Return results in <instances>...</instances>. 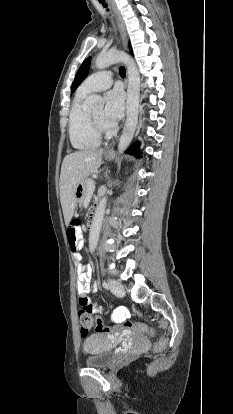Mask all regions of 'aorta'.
<instances>
[{"label":"aorta","mask_w":233,"mask_h":414,"mask_svg":"<svg viewBox=\"0 0 233 414\" xmlns=\"http://www.w3.org/2000/svg\"><path fill=\"white\" fill-rule=\"evenodd\" d=\"M119 62L124 63L128 69V87L126 101L127 119L118 144L119 153H123L131 143L137 126L140 96V75L134 60L128 54L122 51L110 50L106 53L99 54L95 60V66L97 69H104L112 64ZM86 103L91 107L103 106L104 100L100 95L93 94L86 99ZM106 203L107 198L104 196L100 200L95 210L89 234L90 252L95 251L99 240Z\"/></svg>","instance_id":"aorta-1"}]
</instances>
